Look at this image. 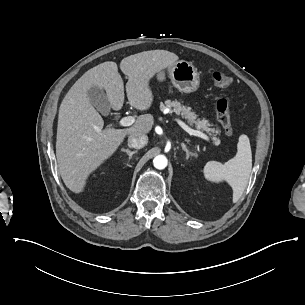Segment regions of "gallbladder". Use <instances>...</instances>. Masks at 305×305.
Here are the masks:
<instances>
[{
  "instance_id": "obj_1",
  "label": "gallbladder",
  "mask_w": 305,
  "mask_h": 305,
  "mask_svg": "<svg viewBox=\"0 0 305 305\" xmlns=\"http://www.w3.org/2000/svg\"><path fill=\"white\" fill-rule=\"evenodd\" d=\"M87 97L89 98L91 105H93L102 115L107 116L109 114L111 104L102 88L92 86L87 91Z\"/></svg>"
}]
</instances>
